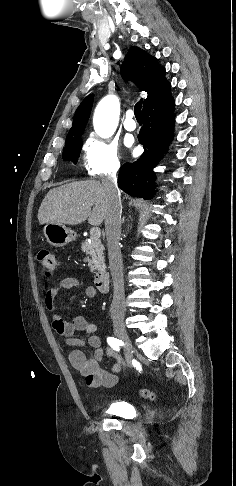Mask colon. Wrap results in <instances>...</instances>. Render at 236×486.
Segmentation results:
<instances>
[{
    "mask_svg": "<svg viewBox=\"0 0 236 486\" xmlns=\"http://www.w3.org/2000/svg\"><path fill=\"white\" fill-rule=\"evenodd\" d=\"M38 260L40 261L44 271L47 275H52L58 269V259L51 251L43 249L38 253ZM140 394L143 398L155 400L157 394L148 389H142Z\"/></svg>",
    "mask_w": 236,
    "mask_h": 486,
    "instance_id": "1",
    "label": "colon"
}]
</instances>
